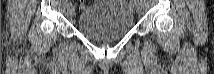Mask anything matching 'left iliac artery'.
<instances>
[{
  "label": "left iliac artery",
  "instance_id": "1",
  "mask_svg": "<svg viewBox=\"0 0 214 74\" xmlns=\"http://www.w3.org/2000/svg\"><path fill=\"white\" fill-rule=\"evenodd\" d=\"M139 4H142V0L138 1Z\"/></svg>",
  "mask_w": 214,
  "mask_h": 74
}]
</instances>
